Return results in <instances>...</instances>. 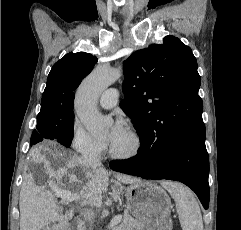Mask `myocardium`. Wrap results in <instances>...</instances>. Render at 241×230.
Instances as JSON below:
<instances>
[{
  "instance_id": "myocardium-1",
  "label": "myocardium",
  "mask_w": 241,
  "mask_h": 230,
  "mask_svg": "<svg viewBox=\"0 0 241 230\" xmlns=\"http://www.w3.org/2000/svg\"><path fill=\"white\" fill-rule=\"evenodd\" d=\"M127 131L129 132L132 138L133 146L130 151L126 153H121V154L112 151L111 148L108 149L109 155L115 160H119V161L131 160L137 157L142 150L143 142H142L141 136L133 128H128Z\"/></svg>"
}]
</instances>
